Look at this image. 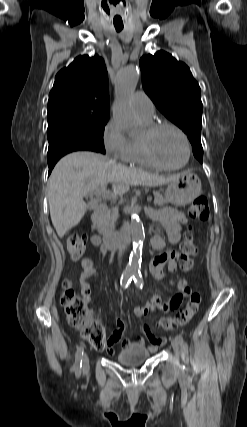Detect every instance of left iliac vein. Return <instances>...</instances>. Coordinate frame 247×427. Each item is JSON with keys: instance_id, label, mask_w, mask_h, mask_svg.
Returning a JSON list of instances; mask_svg holds the SVG:
<instances>
[{"instance_id": "1", "label": "left iliac vein", "mask_w": 247, "mask_h": 427, "mask_svg": "<svg viewBox=\"0 0 247 427\" xmlns=\"http://www.w3.org/2000/svg\"><path fill=\"white\" fill-rule=\"evenodd\" d=\"M179 344H180V341L178 340L177 337L171 339V345L174 350L173 363L176 366L179 365Z\"/></svg>"}]
</instances>
